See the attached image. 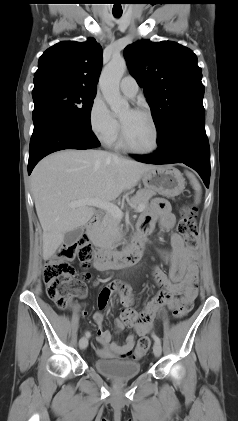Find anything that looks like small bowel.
Returning <instances> with one entry per match:
<instances>
[{
    "label": "small bowel",
    "instance_id": "c3829d8e",
    "mask_svg": "<svg viewBox=\"0 0 238 421\" xmlns=\"http://www.w3.org/2000/svg\"><path fill=\"white\" fill-rule=\"evenodd\" d=\"M175 220L168 202L164 199L156 198L138 221L139 234L146 235L150 233L157 221L160 222L163 229L169 231L174 227ZM170 244V250L161 252L162 258L169 265V273L166 274L157 265L153 266L152 277L161 289L147 303L144 310L137 312L131 308L133 296L131 288L127 284L112 282L101 290L98 298V311L93 315V319L98 326L97 341L100 346H95V351L99 357H125L134 347V335H129L124 342L117 343L112 340V334L103 329V312L114 296L119 298L124 308L120 318L115 322L116 331L130 327L138 336L147 335L153 329L155 320L165 313V307L175 308L178 299L192 304L197 295V259L193 250L178 233L171 234ZM176 297L179 298L176 300ZM86 314L84 312V315Z\"/></svg>",
    "mask_w": 238,
    "mask_h": 421
}]
</instances>
